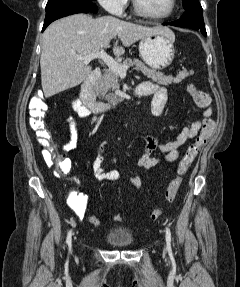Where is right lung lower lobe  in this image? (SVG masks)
Here are the masks:
<instances>
[{
  "label": "right lung lower lobe",
  "instance_id": "98d812e1",
  "mask_svg": "<svg viewBox=\"0 0 240 287\" xmlns=\"http://www.w3.org/2000/svg\"><path fill=\"white\" fill-rule=\"evenodd\" d=\"M97 6L90 0L65 1L46 7V17L42 31L53 21L76 13H96Z\"/></svg>",
  "mask_w": 240,
  "mask_h": 287
}]
</instances>
